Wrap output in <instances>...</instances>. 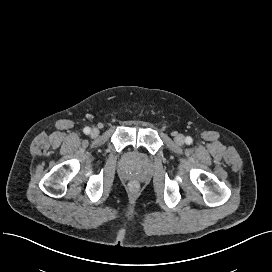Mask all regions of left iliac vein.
Returning a JSON list of instances; mask_svg holds the SVG:
<instances>
[{"mask_svg": "<svg viewBox=\"0 0 272 272\" xmlns=\"http://www.w3.org/2000/svg\"><path fill=\"white\" fill-rule=\"evenodd\" d=\"M175 142L178 144V145H182L184 144L185 142V138L182 134H178L175 136Z\"/></svg>", "mask_w": 272, "mask_h": 272, "instance_id": "1", "label": "left iliac vein"}]
</instances>
